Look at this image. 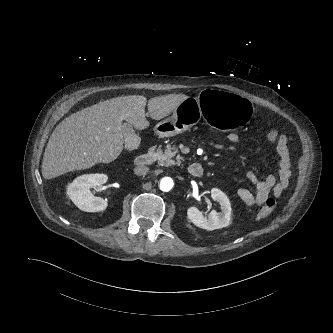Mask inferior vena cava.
Listing matches in <instances>:
<instances>
[{
  "label": "inferior vena cava",
  "instance_id": "obj_1",
  "mask_svg": "<svg viewBox=\"0 0 333 333\" xmlns=\"http://www.w3.org/2000/svg\"><path fill=\"white\" fill-rule=\"evenodd\" d=\"M148 170H149V168L147 166H144V165H142V166H136L134 168V173L136 175H139V176L146 175L147 172H148Z\"/></svg>",
  "mask_w": 333,
  "mask_h": 333
}]
</instances>
